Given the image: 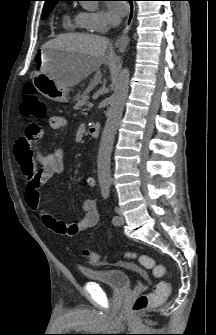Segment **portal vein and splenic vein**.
Here are the masks:
<instances>
[{"mask_svg": "<svg viewBox=\"0 0 216 335\" xmlns=\"http://www.w3.org/2000/svg\"><path fill=\"white\" fill-rule=\"evenodd\" d=\"M88 107H90V108L93 107V103H89Z\"/></svg>", "mask_w": 216, "mask_h": 335, "instance_id": "portal-vein-and-splenic-vein-1", "label": "portal vein and splenic vein"}]
</instances>
